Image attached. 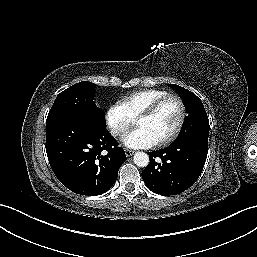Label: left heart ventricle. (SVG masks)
Instances as JSON below:
<instances>
[{"label": "left heart ventricle", "instance_id": "left-heart-ventricle-1", "mask_svg": "<svg viewBox=\"0 0 257 257\" xmlns=\"http://www.w3.org/2000/svg\"><path fill=\"white\" fill-rule=\"evenodd\" d=\"M179 116V104L171 99L155 115L137 120V126L147 130L158 142L175 129Z\"/></svg>", "mask_w": 257, "mask_h": 257}]
</instances>
